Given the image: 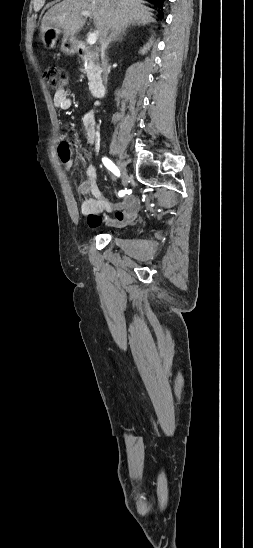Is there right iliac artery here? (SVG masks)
<instances>
[{
  "instance_id": "obj_1",
  "label": "right iliac artery",
  "mask_w": 253,
  "mask_h": 548,
  "mask_svg": "<svg viewBox=\"0 0 253 548\" xmlns=\"http://www.w3.org/2000/svg\"><path fill=\"white\" fill-rule=\"evenodd\" d=\"M102 162L106 166V168L109 169L113 174H115L116 176H120L119 169L113 164V162L111 160H109L107 157H104V158H102ZM118 195L120 197L124 196L125 191L124 190L119 191Z\"/></svg>"
}]
</instances>
